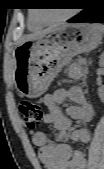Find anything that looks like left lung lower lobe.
<instances>
[{"label":"left lung lower lobe","mask_w":104,"mask_h":169,"mask_svg":"<svg viewBox=\"0 0 104 169\" xmlns=\"http://www.w3.org/2000/svg\"><path fill=\"white\" fill-rule=\"evenodd\" d=\"M84 10L70 19L69 23L98 22L104 23V5L101 0H86Z\"/></svg>","instance_id":"1"}]
</instances>
